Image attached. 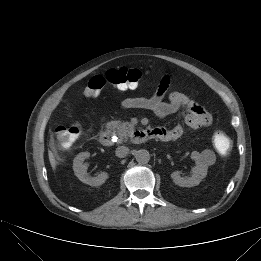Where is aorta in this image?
Here are the masks:
<instances>
[{
  "mask_svg": "<svg viewBox=\"0 0 261 261\" xmlns=\"http://www.w3.org/2000/svg\"><path fill=\"white\" fill-rule=\"evenodd\" d=\"M135 159L139 164H147L150 160V154L145 149H140L135 154Z\"/></svg>",
  "mask_w": 261,
  "mask_h": 261,
  "instance_id": "1",
  "label": "aorta"
}]
</instances>
